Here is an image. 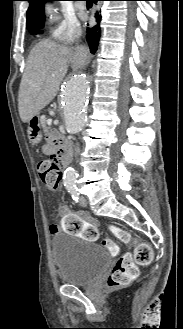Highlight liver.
Returning <instances> with one entry per match:
<instances>
[{
  "label": "liver",
  "mask_w": 183,
  "mask_h": 329,
  "mask_svg": "<svg viewBox=\"0 0 183 329\" xmlns=\"http://www.w3.org/2000/svg\"><path fill=\"white\" fill-rule=\"evenodd\" d=\"M76 50L42 40L30 52L18 95L22 122H29L55 98L69 63L74 69L82 67Z\"/></svg>",
  "instance_id": "6515ba94"
}]
</instances>
